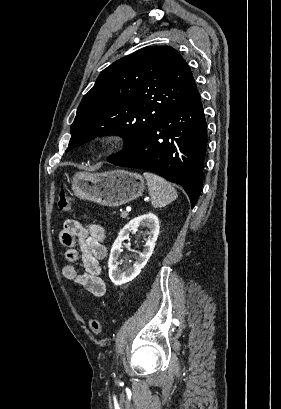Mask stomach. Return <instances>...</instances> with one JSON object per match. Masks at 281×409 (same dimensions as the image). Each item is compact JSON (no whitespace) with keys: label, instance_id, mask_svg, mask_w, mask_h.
Returning <instances> with one entry per match:
<instances>
[{"label":"stomach","instance_id":"obj_1","mask_svg":"<svg viewBox=\"0 0 281 409\" xmlns=\"http://www.w3.org/2000/svg\"><path fill=\"white\" fill-rule=\"evenodd\" d=\"M71 188L83 200H94L105 207H120L126 202L142 196L144 178L128 170H107V172H75Z\"/></svg>","mask_w":281,"mask_h":409}]
</instances>
